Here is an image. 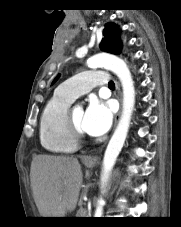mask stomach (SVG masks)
Instances as JSON below:
<instances>
[{
  "label": "stomach",
  "mask_w": 181,
  "mask_h": 227,
  "mask_svg": "<svg viewBox=\"0 0 181 227\" xmlns=\"http://www.w3.org/2000/svg\"><path fill=\"white\" fill-rule=\"evenodd\" d=\"M85 166L87 168H93L95 166V162H85Z\"/></svg>",
  "instance_id": "obj_1"
}]
</instances>
